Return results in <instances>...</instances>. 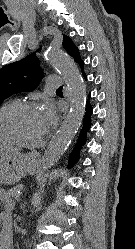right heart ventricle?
<instances>
[{"mask_svg": "<svg viewBox=\"0 0 135 249\" xmlns=\"http://www.w3.org/2000/svg\"><path fill=\"white\" fill-rule=\"evenodd\" d=\"M0 144H9V143L4 142V141H2V140L0 139Z\"/></svg>", "mask_w": 135, "mask_h": 249, "instance_id": "obj_1", "label": "right heart ventricle"}]
</instances>
